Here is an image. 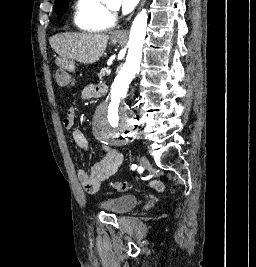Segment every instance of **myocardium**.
<instances>
[{"label": "myocardium", "mask_w": 256, "mask_h": 267, "mask_svg": "<svg viewBox=\"0 0 256 267\" xmlns=\"http://www.w3.org/2000/svg\"><path fill=\"white\" fill-rule=\"evenodd\" d=\"M116 7L117 5L113 0H108V11L106 13L105 19L102 22V24L108 21H112L114 24V17L116 15ZM101 31H104V30H101ZM104 32H107V31H104Z\"/></svg>", "instance_id": "obj_1"}]
</instances>
